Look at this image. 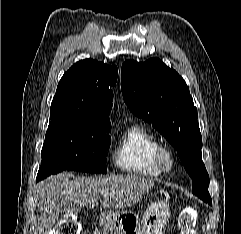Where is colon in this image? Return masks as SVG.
<instances>
[{
    "label": "colon",
    "mask_w": 241,
    "mask_h": 234,
    "mask_svg": "<svg viewBox=\"0 0 241 234\" xmlns=\"http://www.w3.org/2000/svg\"><path fill=\"white\" fill-rule=\"evenodd\" d=\"M195 222L196 211L192 208L185 209L179 218V228L182 234H197ZM54 234H80V224L75 217L66 215L59 221Z\"/></svg>",
    "instance_id": "obj_1"
}]
</instances>
